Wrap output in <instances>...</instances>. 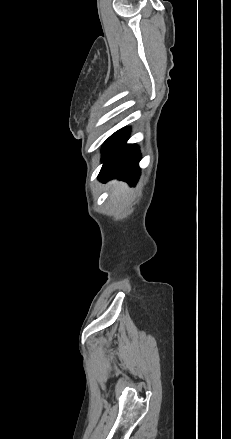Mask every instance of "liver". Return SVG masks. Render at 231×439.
<instances>
[{"mask_svg":"<svg viewBox=\"0 0 231 439\" xmlns=\"http://www.w3.org/2000/svg\"><path fill=\"white\" fill-rule=\"evenodd\" d=\"M110 185L113 189V194L115 196H119L121 193H123L127 189L126 184H124L122 182L113 181L110 183Z\"/></svg>","mask_w":231,"mask_h":439,"instance_id":"6515ba94","label":"liver"}]
</instances>
